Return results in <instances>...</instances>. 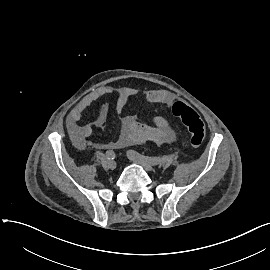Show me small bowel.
<instances>
[{
  "label": "small bowel",
  "instance_id": "1",
  "mask_svg": "<svg viewBox=\"0 0 270 270\" xmlns=\"http://www.w3.org/2000/svg\"><path fill=\"white\" fill-rule=\"evenodd\" d=\"M116 93L115 111L121 115L133 95L130 88H120L114 90L112 87H100L85 97L71 110L67 118V129L70 136L79 143L86 142L93 131V125L103 129L106 124L108 111L104 109L100 112L93 124H81L85 111L100 98ZM145 99L148 103H164L169 104L174 99L171 92L167 90H150L146 92ZM176 131L171 122L162 116L152 118L151 124H143L134 116L126 115L121 119V132L117 140L100 145L102 149L108 148H125L134 144L152 142L158 145L170 144L176 139Z\"/></svg>",
  "mask_w": 270,
  "mask_h": 270
}]
</instances>
